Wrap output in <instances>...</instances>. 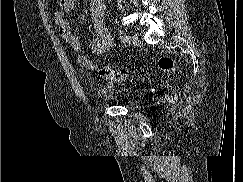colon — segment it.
Segmentation results:
<instances>
[{
	"label": "colon",
	"mask_w": 243,
	"mask_h": 182,
	"mask_svg": "<svg viewBox=\"0 0 243 182\" xmlns=\"http://www.w3.org/2000/svg\"><path fill=\"white\" fill-rule=\"evenodd\" d=\"M158 66L165 72L173 71L176 69L175 61L167 56L161 57L158 60ZM99 76L106 80H120L124 76L123 72L114 70L110 67H102L99 70Z\"/></svg>",
	"instance_id": "obj_1"
}]
</instances>
